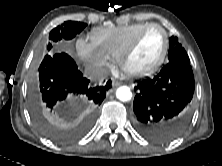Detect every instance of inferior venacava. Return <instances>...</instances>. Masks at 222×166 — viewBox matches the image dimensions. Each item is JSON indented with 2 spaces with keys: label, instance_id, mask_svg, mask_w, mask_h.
Returning a JSON list of instances; mask_svg holds the SVG:
<instances>
[{
  "label": "inferior vena cava",
  "instance_id": "1",
  "mask_svg": "<svg viewBox=\"0 0 222 166\" xmlns=\"http://www.w3.org/2000/svg\"><path fill=\"white\" fill-rule=\"evenodd\" d=\"M108 74L106 68L99 66H87L84 71V76L93 81H102Z\"/></svg>",
  "mask_w": 222,
  "mask_h": 166
}]
</instances>
